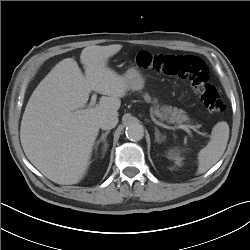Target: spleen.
Returning a JSON list of instances; mask_svg holds the SVG:
<instances>
[{"label": "spleen", "instance_id": "obj_1", "mask_svg": "<svg viewBox=\"0 0 250 250\" xmlns=\"http://www.w3.org/2000/svg\"><path fill=\"white\" fill-rule=\"evenodd\" d=\"M229 139V125L227 122H218L212 129L211 139L198 153L197 174L208 171L218 162L227 146Z\"/></svg>", "mask_w": 250, "mask_h": 250}]
</instances>
